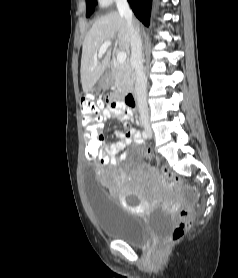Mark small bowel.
<instances>
[{"mask_svg":"<svg viewBox=\"0 0 238 278\" xmlns=\"http://www.w3.org/2000/svg\"><path fill=\"white\" fill-rule=\"evenodd\" d=\"M103 119V127L105 125V122L109 118H117L120 121H128L132 120L133 118V111L129 108L127 103L121 101L116 96L111 97L110 104L102 111L101 117ZM86 137V136H85ZM116 142H109L104 141V146L102 148L101 156H98V161L103 165L113 164L115 165L117 163V159L114 157H111L108 154L109 150L115 151L123 149L124 147L130 145L131 143H135L136 145L142 144V139L140 133L131 128L125 131H117L115 132ZM126 154L123 153L121 155V158H125ZM93 160V159H90Z\"/></svg>","mask_w":238,"mask_h":278,"instance_id":"small-bowel-1","label":"small bowel"}]
</instances>
